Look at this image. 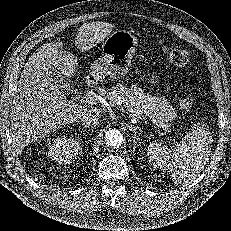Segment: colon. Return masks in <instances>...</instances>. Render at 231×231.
<instances>
[{
    "instance_id": "1",
    "label": "colon",
    "mask_w": 231,
    "mask_h": 231,
    "mask_svg": "<svg viewBox=\"0 0 231 231\" xmlns=\"http://www.w3.org/2000/svg\"><path fill=\"white\" fill-rule=\"evenodd\" d=\"M162 52L167 56L168 60L177 67L187 66L191 59L190 53L185 49L163 46ZM180 105L186 111L191 110L193 106V95L186 91L181 98Z\"/></svg>"
}]
</instances>
